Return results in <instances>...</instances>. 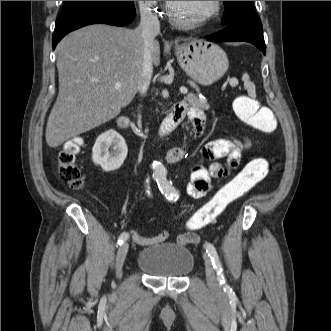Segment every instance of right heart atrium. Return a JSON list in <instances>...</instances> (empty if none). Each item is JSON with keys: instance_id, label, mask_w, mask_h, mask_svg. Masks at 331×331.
<instances>
[{"instance_id": "right-heart-atrium-1", "label": "right heart atrium", "mask_w": 331, "mask_h": 331, "mask_svg": "<svg viewBox=\"0 0 331 331\" xmlns=\"http://www.w3.org/2000/svg\"><path fill=\"white\" fill-rule=\"evenodd\" d=\"M156 6L157 1H138L139 10L146 19H149L151 16H158Z\"/></svg>"}]
</instances>
